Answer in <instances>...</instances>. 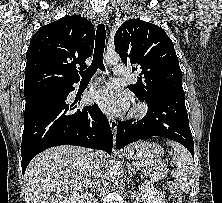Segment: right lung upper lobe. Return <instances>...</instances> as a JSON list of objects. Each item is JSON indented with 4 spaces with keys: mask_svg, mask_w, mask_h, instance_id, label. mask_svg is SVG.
<instances>
[{
    "mask_svg": "<svg viewBox=\"0 0 222 203\" xmlns=\"http://www.w3.org/2000/svg\"><path fill=\"white\" fill-rule=\"evenodd\" d=\"M94 26L78 15L65 16L40 28L27 50L24 95L80 80L76 67H87L92 55Z\"/></svg>",
    "mask_w": 222,
    "mask_h": 203,
    "instance_id": "obj_1",
    "label": "right lung upper lobe"
}]
</instances>
